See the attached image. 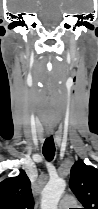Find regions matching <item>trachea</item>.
I'll list each match as a JSON object with an SVG mask.
<instances>
[{
    "instance_id": "3493384b",
    "label": "trachea",
    "mask_w": 98,
    "mask_h": 209,
    "mask_svg": "<svg viewBox=\"0 0 98 209\" xmlns=\"http://www.w3.org/2000/svg\"><path fill=\"white\" fill-rule=\"evenodd\" d=\"M43 155L46 160L51 161L55 156V145L53 136L46 138L44 145H43Z\"/></svg>"
}]
</instances>
